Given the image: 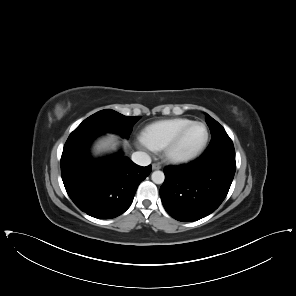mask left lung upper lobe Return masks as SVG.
<instances>
[{
    "label": "left lung upper lobe",
    "mask_w": 296,
    "mask_h": 296,
    "mask_svg": "<svg viewBox=\"0 0 296 296\" xmlns=\"http://www.w3.org/2000/svg\"><path fill=\"white\" fill-rule=\"evenodd\" d=\"M205 120L211 131V142L200 159L210 161L223 154H235L233 142L224 128L208 114Z\"/></svg>",
    "instance_id": "obj_1"
}]
</instances>
